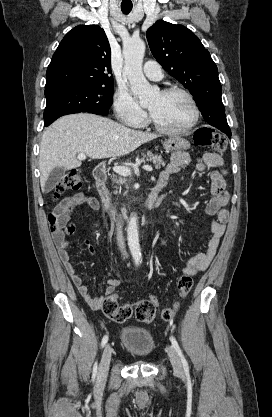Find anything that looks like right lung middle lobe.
Instances as JSON below:
<instances>
[{
    "label": "right lung middle lobe",
    "instance_id": "obj_1",
    "mask_svg": "<svg viewBox=\"0 0 272 417\" xmlns=\"http://www.w3.org/2000/svg\"><path fill=\"white\" fill-rule=\"evenodd\" d=\"M113 87H62L45 91L44 125L63 115L78 112L107 115L113 103Z\"/></svg>",
    "mask_w": 272,
    "mask_h": 417
}]
</instances>
